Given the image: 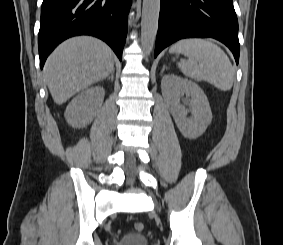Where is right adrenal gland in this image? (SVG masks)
<instances>
[{
	"instance_id": "2a0ac1e0",
	"label": "right adrenal gland",
	"mask_w": 283,
	"mask_h": 245,
	"mask_svg": "<svg viewBox=\"0 0 283 245\" xmlns=\"http://www.w3.org/2000/svg\"><path fill=\"white\" fill-rule=\"evenodd\" d=\"M108 79H111V81L114 80V69L111 72V75L108 77Z\"/></svg>"
}]
</instances>
